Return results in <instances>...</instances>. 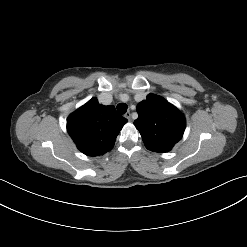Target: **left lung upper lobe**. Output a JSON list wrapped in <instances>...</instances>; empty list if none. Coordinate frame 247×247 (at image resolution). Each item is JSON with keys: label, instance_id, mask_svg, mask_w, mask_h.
I'll use <instances>...</instances> for the list:
<instances>
[{"label": "left lung upper lobe", "instance_id": "5c2ea615", "mask_svg": "<svg viewBox=\"0 0 247 247\" xmlns=\"http://www.w3.org/2000/svg\"><path fill=\"white\" fill-rule=\"evenodd\" d=\"M138 119L134 125L139 130L146 148L165 153L179 142L185 130L181 111L166 99L149 94L137 105Z\"/></svg>", "mask_w": 247, "mask_h": 247}]
</instances>
